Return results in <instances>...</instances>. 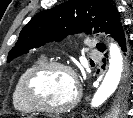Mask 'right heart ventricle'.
<instances>
[{
  "mask_svg": "<svg viewBox=\"0 0 133 118\" xmlns=\"http://www.w3.org/2000/svg\"><path fill=\"white\" fill-rule=\"evenodd\" d=\"M45 62V58L40 56L32 61L28 66H26L22 72L19 74L12 91V102L14 108L22 113L28 114L32 113L34 109L27 103L23 94V83L26 76L37 66Z\"/></svg>",
  "mask_w": 133,
  "mask_h": 118,
  "instance_id": "obj_1",
  "label": "right heart ventricle"
}]
</instances>
